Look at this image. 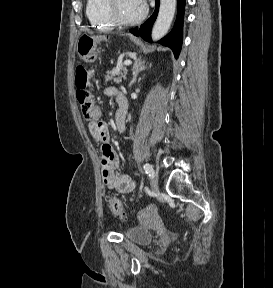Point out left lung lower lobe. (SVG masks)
Returning a JSON list of instances; mask_svg holds the SVG:
<instances>
[{
	"instance_id": "0a47b994",
	"label": "left lung lower lobe",
	"mask_w": 273,
	"mask_h": 288,
	"mask_svg": "<svg viewBox=\"0 0 273 288\" xmlns=\"http://www.w3.org/2000/svg\"><path fill=\"white\" fill-rule=\"evenodd\" d=\"M155 1H156V8L153 15L140 27V36L148 42H151V36H150L151 28L157 17L159 10L160 0ZM184 6H185V0H178L177 18L175 26L167 36H165L163 39L159 41L160 44L168 46L172 49L175 58H178L182 46ZM130 32L136 36L139 35L138 28L131 29Z\"/></svg>"
}]
</instances>
